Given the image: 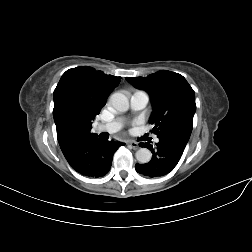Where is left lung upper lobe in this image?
I'll return each instance as SVG.
<instances>
[{"instance_id":"obj_1","label":"left lung upper lobe","mask_w":252,"mask_h":252,"mask_svg":"<svg viewBox=\"0 0 252 252\" xmlns=\"http://www.w3.org/2000/svg\"><path fill=\"white\" fill-rule=\"evenodd\" d=\"M134 87L151 97L150 124L158 137L175 135L189 140L196 111L195 93L186 79L175 72L161 70L147 77H126Z\"/></svg>"}]
</instances>
